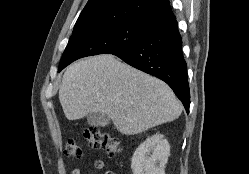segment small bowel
<instances>
[{
	"mask_svg": "<svg viewBox=\"0 0 249 174\" xmlns=\"http://www.w3.org/2000/svg\"><path fill=\"white\" fill-rule=\"evenodd\" d=\"M93 167L96 170H103L106 167V163L104 160H96L94 162ZM71 174H82V169L80 167H75L72 169ZM104 174H115L112 171H105Z\"/></svg>",
	"mask_w": 249,
	"mask_h": 174,
	"instance_id": "small-bowel-1",
	"label": "small bowel"
}]
</instances>
